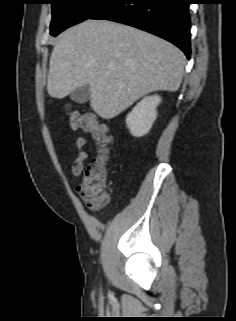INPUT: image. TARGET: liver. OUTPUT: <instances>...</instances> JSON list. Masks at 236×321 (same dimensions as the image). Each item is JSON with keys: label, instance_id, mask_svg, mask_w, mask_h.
<instances>
[{"label": "liver", "instance_id": "1", "mask_svg": "<svg viewBox=\"0 0 236 321\" xmlns=\"http://www.w3.org/2000/svg\"><path fill=\"white\" fill-rule=\"evenodd\" d=\"M186 58L172 43L131 26L86 20L54 45L48 94L62 99L88 85L90 106L111 119L153 91L178 90Z\"/></svg>", "mask_w": 236, "mask_h": 321}]
</instances>
